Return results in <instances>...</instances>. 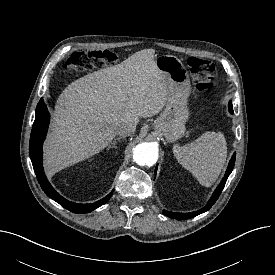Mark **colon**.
<instances>
[{
	"mask_svg": "<svg viewBox=\"0 0 275 275\" xmlns=\"http://www.w3.org/2000/svg\"><path fill=\"white\" fill-rule=\"evenodd\" d=\"M116 59L117 55L110 50L74 52L66 60L63 68L69 71H87L112 64ZM188 66L196 90L205 91L212 87L216 73L212 62L198 57H190Z\"/></svg>",
	"mask_w": 275,
	"mask_h": 275,
	"instance_id": "colon-1",
	"label": "colon"
}]
</instances>
